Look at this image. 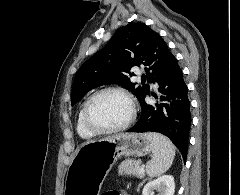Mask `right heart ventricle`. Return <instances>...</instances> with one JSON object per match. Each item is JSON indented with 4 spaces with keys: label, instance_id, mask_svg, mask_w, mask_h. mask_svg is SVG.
Segmentation results:
<instances>
[{
    "label": "right heart ventricle",
    "instance_id": "right-heart-ventricle-1",
    "mask_svg": "<svg viewBox=\"0 0 240 195\" xmlns=\"http://www.w3.org/2000/svg\"><path fill=\"white\" fill-rule=\"evenodd\" d=\"M87 102H84L83 105L80 107L77 117V130L79 135L84 139H90L94 137L95 134H93L84 124L83 119V113H84V107Z\"/></svg>",
    "mask_w": 240,
    "mask_h": 195
}]
</instances>
